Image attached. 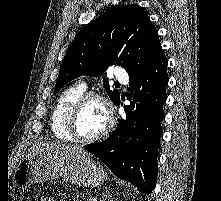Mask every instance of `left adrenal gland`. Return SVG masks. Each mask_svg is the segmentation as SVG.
<instances>
[{"mask_svg":"<svg viewBox=\"0 0 221 201\" xmlns=\"http://www.w3.org/2000/svg\"><path fill=\"white\" fill-rule=\"evenodd\" d=\"M103 197H105V199L103 198V200H101V201H104V200H106L107 198H110L111 195H110V194H107V195H104Z\"/></svg>","mask_w":221,"mask_h":201,"instance_id":"1","label":"left adrenal gland"}]
</instances>
